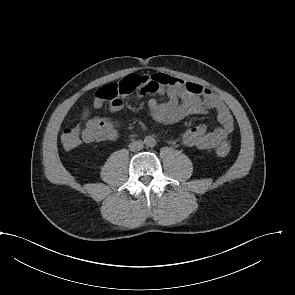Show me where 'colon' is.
<instances>
[{"mask_svg": "<svg viewBox=\"0 0 295 295\" xmlns=\"http://www.w3.org/2000/svg\"><path fill=\"white\" fill-rule=\"evenodd\" d=\"M140 85V76L131 74L117 83L101 87L96 92L95 96L99 97L103 101L114 102L118 97L130 94L139 89ZM92 128V121H85L84 123L65 128L61 134V142L63 146L68 150L74 149L84 140L86 132ZM230 150V143L225 141L216 148L215 153L219 157H226L230 153Z\"/></svg>", "mask_w": 295, "mask_h": 295, "instance_id": "colon-1", "label": "colon"}]
</instances>
